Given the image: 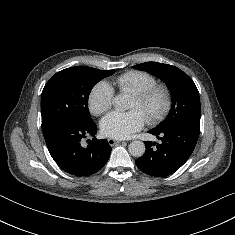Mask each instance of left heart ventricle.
I'll return each mask as SVG.
<instances>
[{
  "mask_svg": "<svg viewBox=\"0 0 235 235\" xmlns=\"http://www.w3.org/2000/svg\"><path fill=\"white\" fill-rule=\"evenodd\" d=\"M160 104H161L160 98L155 99L150 104H143L136 97L133 96L130 102L129 108L132 110L133 109L141 110L145 114V116L148 118L150 112L152 110L157 109L160 106Z\"/></svg>",
  "mask_w": 235,
  "mask_h": 235,
  "instance_id": "obj_1",
  "label": "left heart ventricle"
}]
</instances>
